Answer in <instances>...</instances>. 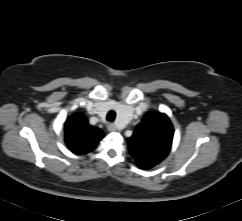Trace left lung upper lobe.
Instances as JSON below:
<instances>
[{
	"mask_svg": "<svg viewBox=\"0 0 242 221\" xmlns=\"http://www.w3.org/2000/svg\"><path fill=\"white\" fill-rule=\"evenodd\" d=\"M173 126L165 114L148 113L128 138L130 154L142 169L151 168L169 153Z\"/></svg>",
	"mask_w": 242,
	"mask_h": 221,
	"instance_id": "1",
	"label": "left lung upper lobe"
}]
</instances>
